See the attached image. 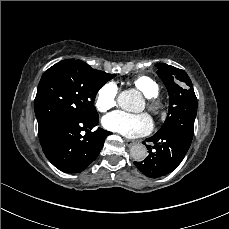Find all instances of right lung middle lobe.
<instances>
[{"label":"right lung middle lobe","mask_w":229,"mask_h":229,"mask_svg":"<svg viewBox=\"0 0 229 229\" xmlns=\"http://www.w3.org/2000/svg\"><path fill=\"white\" fill-rule=\"evenodd\" d=\"M106 82L101 71L80 60H63L46 70L34 101L38 135L63 118L98 120L93 102Z\"/></svg>","instance_id":"dd1d6c3e"}]
</instances>
